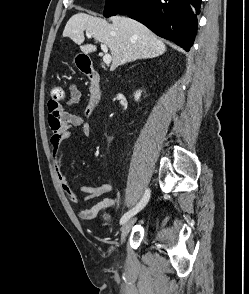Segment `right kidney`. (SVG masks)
<instances>
[{"label":"right kidney","instance_id":"right-kidney-1","mask_svg":"<svg viewBox=\"0 0 249 294\" xmlns=\"http://www.w3.org/2000/svg\"><path fill=\"white\" fill-rule=\"evenodd\" d=\"M140 96H141V91H140V90L136 91V93H135V95H134L135 100L138 101L139 98H140Z\"/></svg>","mask_w":249,"mask_h":294}]
</instances>
